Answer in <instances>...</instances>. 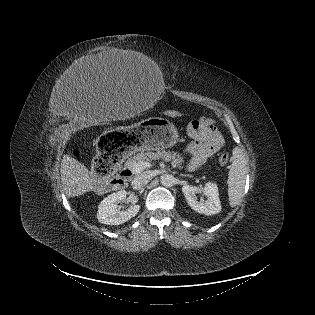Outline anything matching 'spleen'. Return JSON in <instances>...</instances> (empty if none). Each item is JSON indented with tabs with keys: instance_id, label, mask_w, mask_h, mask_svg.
I'll list each match as a JSON object with an SVG mask.
<instances>
[{
	"instance_id": "3e777b00",
	"label": "spleen",
	"mask_w": 315,
	"mask_h": 315,
	"mask_svg": "<svg viewBox=\"0 0 315 315\" xmlns=\"http://www.w3.org/2000/svg\"><path fill=\"white\" fill-rule=\"evenodd\" d=\"M231 161L227 181L228 195L230 206L235 207L243 195L248 162L239 147L233 149Z\"/></svg>"
}]
</instances>
